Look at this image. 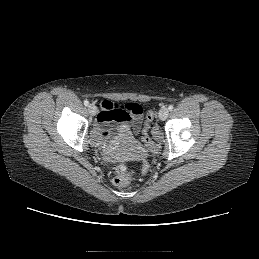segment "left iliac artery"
I'll return each mask as SVG.
<instances>
[{
  "label": "left iliac artery",
  "mask_w": 259,
  "mask_h": 259,
  "mask_svg": "<svg viewBox=\"0 0 259 259\" xmlns=\"http://www.w3.org/2000/svg\"><path fill=\"white\" fill-rule=\"evenodd\" d=\"M173 105H169L168 109L171 111L173 109Z\"/></svg>",
  "instance_id": "obj_1"
}]
</instances>
